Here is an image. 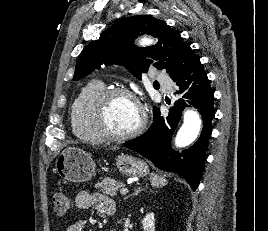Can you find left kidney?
I'll return each mask as SVG.
<instances>
[{
    "label": "left kidney",
    "instance_id": "5707ae66",
    "mask_svg": "<svg viewBox=\"0 0 268 231\" xmlns=\"http://www.w3.org/2000/svg\"><path fill=\"white\" fill-rule=\"evenodd\" d=\"M154 213H148L142 220L144 231H155V218Z\"/></svg>",
    "mask_w": 268,
    "mask_h": 231
}]
</instances>
